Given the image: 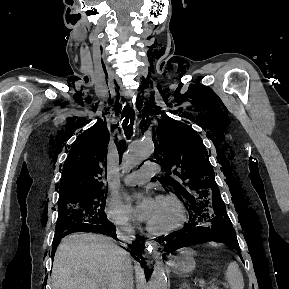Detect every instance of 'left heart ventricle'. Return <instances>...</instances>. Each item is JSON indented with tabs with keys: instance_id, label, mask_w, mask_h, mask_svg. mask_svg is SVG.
I'll return each mask as SVG.
<instances>
[{
	"instance_id": "1",
	"label": "left heart ventricle",
	"mask_w": 289,
	"mask_h": 289,
	"mask_svg": "<svg viewBox=\"0 0 289 289\" xmlns=\"http://www.w3.org/2000/svg\"><path fill=\"white\" fill-rule=\"evenodd\" d=\"M179 218L180 212L172 202L157 200L154 213L147 223L155 229H163L176 224Z\"/></svg>"
}]
</instances>
